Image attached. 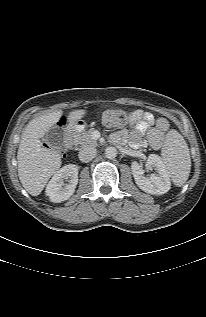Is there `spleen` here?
Returning <instances> with one entry per match:
<instances>
[{"label": "spleen", "mask_w": 206, "mask_h": 317, "mask_svg": "<svg viewBox=\"0 0 206 317\" xmlns=\"http://www.w3.org/2000/svg\"><path fill=\"white\" fill-rule=\"evenodd\" d=\"M161 158L174 185H184L191 169L190 153L183 136L174 129L166 135Z\"/></svg>", "instance_id": "spleen-1"}]
</instances>
